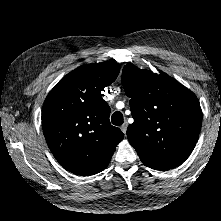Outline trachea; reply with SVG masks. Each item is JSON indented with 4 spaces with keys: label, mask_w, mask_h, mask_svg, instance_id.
I'll return each instance as SVG.
<instances>
[{
    "label": "trachea",
    "mask_w": 221,
    "mask_h": 221,
    "mask_svg": "<svg viewBox=\"0 0 221 221\" xmlns=\"http://www.w3.org/2000/svg\"><path fill=\"white\" fill-rule=\"evenodd\" d=\"M111 122L115 126H120L123 124V114L119 111L113 113L111 117Z\"/></svg>",
    "instance_id": "1"
}]
</instances>
